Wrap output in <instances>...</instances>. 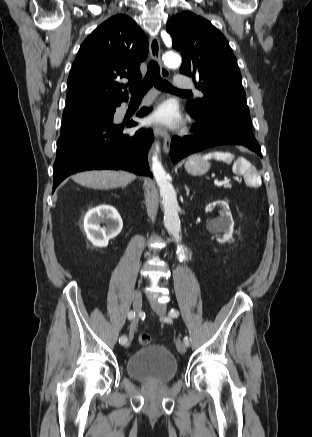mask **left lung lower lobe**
Here are the masks:
<instances>
[{"label":"left lung lower lobe","mask_w":312,"mask_h":437,"mask_svg":"<svg viewBox=\"0 0 312 437\" xmlns=\"http://www.w3.org/2000/svg\"><path fill=\"white\" fill-rule=\"evenodd\" d=\"M191 115L199 121V124L193 127L197 135L172 139L170 157L173 163L202 149L226 144L245 146L262 157L261 147L256 139L250 140L241 136L226 123Z\"/></svg>","instance_id":"obj_1"}]
</instances>
